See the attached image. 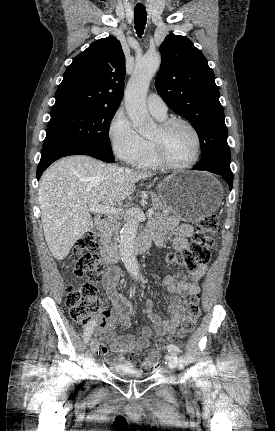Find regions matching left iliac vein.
<instances>
[{"label":"left iliac vein","mask_w":275,"mask_h":431,"mask_svg":"<svg viewBox=\"0 0 275 431\" xmlns=\"http://www.w3.org/2000/svg\"><path fill=\"white\" fill-rule=\"evenodd\" d=\"M165 360H166L167 364L169 365V367H171L173 369L176 368L178 365V360H177V357L174 353L166 354Z\"/></svg>","instance_id":"1"}]
</instances>
